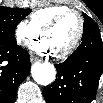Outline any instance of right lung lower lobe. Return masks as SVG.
<instances>
[{"label": "right lung lower lobe", "mask_w": 103, "mask_h": 103, "mask_svg": "<svg viewBox=\"0 0 103 103\" xmlns=\"http://www.w3.org/2000/svg\"><path fill=\"white\" fill-rule=\"evenodd\" d=\"M30 71V57L16 42L0 41V103L15 101L19 84Z\"/></svg>", "instance_id": "right-lung-lower-lobe-1"}]
</instances>
